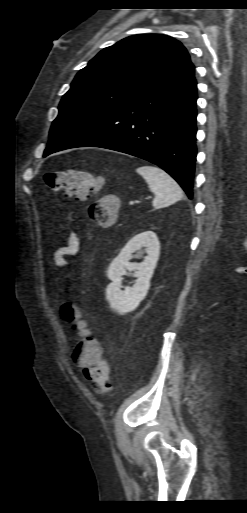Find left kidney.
<instances>
[{"label": "left kidney", "instance_id": "1", "mask_svg": "<svg viewBox=\"0 0 247 513\" xmlns=\"http://www.w3.org/2000/svg\"><path fill=\"white\" fill-rule=\"evenodd\" d=\"M142 248L147 253L144 260L141 263H130L132 254ZM159 255L160 242L152 231L138 234L127 242L108 269V277L112 282L107 287L106 299L112 311L123 315L138 307L148 293ZM127 270L134 271L137 280L133 287H126L123 291L122 276Z\"/></svg>", "mask_w": 247, "mask_h": 513}]
</instances>
